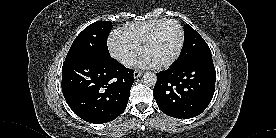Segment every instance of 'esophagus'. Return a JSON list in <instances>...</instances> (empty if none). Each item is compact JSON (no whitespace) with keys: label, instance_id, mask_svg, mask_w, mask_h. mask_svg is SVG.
<instances>
[{"label":"esophagus","instance_id":"34e87169","mask_svg":"<svg viewBox=\"0 0 276 138\" xmlns=\"http://www.w3.org/2000/svg\"><path fill=\"white\" fill-rule=\"evenodd\" d=\"M133 75H134V78H138V77H140L142 75V72L139 71V70H135L134 73H133Z\"/></svg>","mask_w":276,"mask_h":138}]
</instances>
